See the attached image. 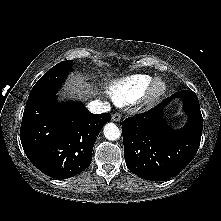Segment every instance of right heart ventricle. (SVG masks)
I'll use <instances>...</instances> for the list:
<instances>
[{"label":"right heart ventricle","mask_w":221,"mask_h":221,"mask_svg":"<svg viewBox=\"0 0 221 221\" xmlns=\"http://www.w3.org/2000/svg\"><path fill=\"white\" fill-rule=\"evenodd\" d=\"M149 74L137 73L113 81L108 87V94L118 105H126L142 97L152 81Z\"/></svg>","instance_id":"obj_1"}]
</instances>
